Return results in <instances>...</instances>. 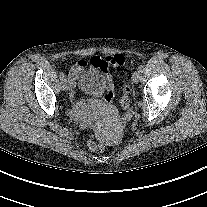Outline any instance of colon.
I'll return each instance as SVG.
<instances>
[{
    "mask_svg": "<svg viewBox=\"0 0 207 207\" xmlns=\"http://www.w3.org/2000/svg\"><path fill=\"white\" fill-rule=\"evenodd\" d=\"M97 64L104 72L108 74H114L119 78H125L126 75L129 73V69L125 65V59L120 55L108 58L106 60H99ZM130 94L131 89L129 85L124 84L122 87L120 105L125 112L130 111ZM84 121L85 117L82 116L80 118V122L83 123ZM87 144L93 151L96 152H102L105 149L104 143L93 136H89L87 138Z\"/></svg>",
    "mask_w": 207,
    "mask_h": 207,
    "instance_id": "5ec220e1",
    "label": "colon"
}]
</instances>
